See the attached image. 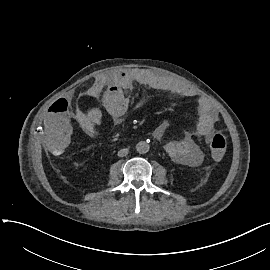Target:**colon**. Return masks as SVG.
Segmentation results:
<instances>
[{
    "instance_id": "obj_1",
    "label": "colon",
    "mask_w": 270,
    "mask_h": 270,
    "mask_svg": "<svg viewBox=\"0 0 270 270\" xmlns=\"http://www.w3.org/2000/svg\"><path fill=\"white\" fill-rule=\"evenodd\" d=\"M209 149L214 153V159L218 163H223L227 159L225 152L227 137L222 132H215L209 139Z\"/></svg>"
}]
</instances>
